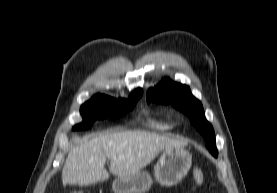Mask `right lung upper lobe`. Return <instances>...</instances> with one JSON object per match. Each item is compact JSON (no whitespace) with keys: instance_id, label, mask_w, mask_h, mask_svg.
I'll list each match as a JSON object with an SVG mask.
<instances>
[{"instance_id":"cb5924a9","label":"right lung upper lobe","mask_w":277,"mask_h":193,"mask_svg":"<svg viewBox=\"0 0 277 193\" xmlns=\"http://www.w3.org/2000/svg\"><path fill=\"white\" fill-rule=\"evenodd\" d=\"M132 94H142V90L138 88Z\"/></svg>"}]
</instances>
